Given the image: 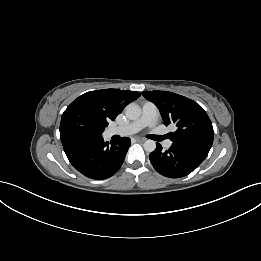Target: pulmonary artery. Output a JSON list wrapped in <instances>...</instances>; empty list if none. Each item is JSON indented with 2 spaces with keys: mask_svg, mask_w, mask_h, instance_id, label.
I'll return each mask as SVG.
<instances>
[{
  "mask_svg": "<svg viewBox=\"0 0 261 261\" xmlns=\"http://www.w3.org/2000/svg\"><path fill=\"white\" fill-rule=\"evenodd\" d=\"M158 120V109L152 102H145L142 106V114L137 120L126 124L124 126L112 127L108 129L109 136L120 135L129 136L135 134L145 127H154ZM172 145L171 140L164 142L165 148H170Z\"/></svg>",
  "mask_w": 261,
  "mask_h": 261,
  "instance_id": "e3ab8cb5",
  "label": "pulmonary artery"
}]
</instances>
